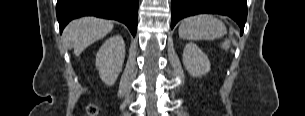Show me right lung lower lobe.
I'll return each mask as SVG.
<instances>
[{
    "instance_id": "obj_1",
    "label": "right lung lower lobe",
    "mask_w": 305,
    "mask_h": 116,
    "mask_svg": "<svg viewBox=\"0 0 305 116\" xmlns=\"http://www.w3.org/2000/svg\"><path fill=\"white\" fill-rule=\"evenodd\" d=\"M139 0H58L56 14L60 32L74 18L96 16L118 20L129 28L133 36L137 29Z\"/></svg>"
}]
</instances>
